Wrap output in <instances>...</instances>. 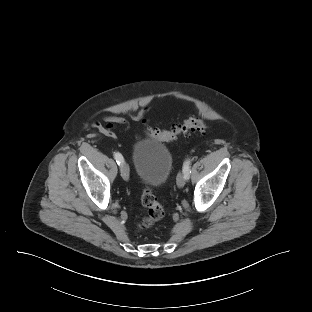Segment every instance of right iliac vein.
<instances>
[{
  "mask_svg": "<svg viewBox=\"0 0 312 312\" xmlns=\"http://www.w3.org/2000/svg\"><path fill=\"white\" fill-rule=\"evenodd\" d=\"M121 176L123 177L124 180L129 179V167L126 163H123L121 165Z\"/></svg>",
  "mask_w": 312,
  "mask_h": 312,
  "instance_id": "1",
  "label": "right iliac vein"
}]
</instances>
